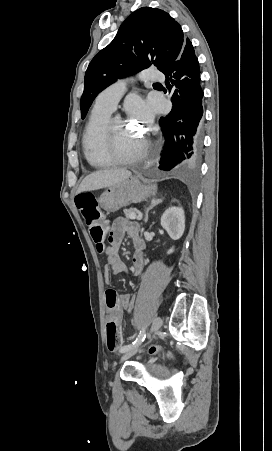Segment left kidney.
Masks as SVG:
<instances>
[{
    "mask_svg": "<svg viewBox=\"0 0 272 451\" xmlns=\"http://www.w3.org/2000/svg\"><path fill=\"white\" fill-rule=\"evenodd\" d=\"M161 226L166 229L172 239H179L184 233L185 216L183 208H168L161 216ZM174 247H170L167 253H172Z\"/></svg>",
    "mask_w": 272,
    "mask_h": 451,
    "instance_id": "5707ae66",
    "label": "left kidney"
}]
</instances>
